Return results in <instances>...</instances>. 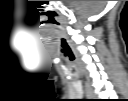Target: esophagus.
<instances>
[{
  "label": "esophagus",
  "instance_id": "34e87169",
  "mask_svg": "<svg viewBox=\"0 0 128 101\" xmlns=\"http://www.w3.org/2000/svg\"><path fill=\"white\" fill-rule=\"evenodd\" d=\"M85 93H86L87 98H92L93 97L92 91L87 85L85 86Z\"/></svg>",
  "mask_w": 128,
  "mask_h": 101
}]
</instances>
